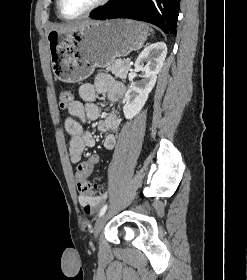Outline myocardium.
Segmentation results:
<instances>
[{
  "mask_svg": "<svg viewBox=\"0 0 247 280\" xmlns=\"http://www.w3.org/2000/svg\"><path fill=\"white\" fill-rule=\"evenodd\" d=\"M110 0H98L95 4H93L90 8H88L87 10H85L84 12L80 13L79 15L76 16H67L64 14L63 9H62V2L63 0H57V12L58 15L64 19V20H77L80 18H83L89 14H91L92 12L96 11L97 9H99L100 7L104 6L105 4H107Z\"/></svg>",
  "mask_w": 247,
  "mask_h": 280,
  "instance_id": "f54148a6",
  "label": "myocardium"
}]
</instances>
